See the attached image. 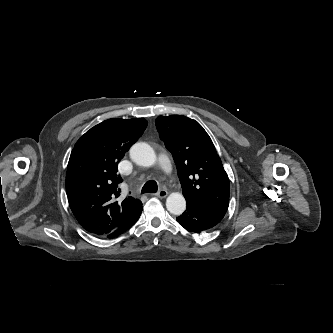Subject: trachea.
<instances>
[{"instance_id": "1", "label": "trachea", "mask_w": 333, "mask_h": 333, "mask_svg": "<svg viewBox=\"0 0 333 333\" xmlns=\"http://www.w3.org/2000/svg\"><path fill=\"white\" fill-rule=\"evenodd\" d=\"M158 191V185L154 180L147 181L142 187L141 193H155Z\"/></svg>"}]
</instances>
